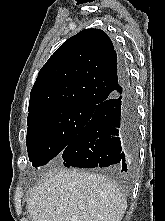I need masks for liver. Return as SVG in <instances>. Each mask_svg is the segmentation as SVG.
I'll return each instance as SVG.
<instances>
[{
  "label": "liver",
  "mask_w": 165,
  "mask_h": 221,
  "mask_svg": "<svg viewBox=\"0 0 165 221\" xmlns=\"http://www.w3.org/2000/svg\"><path fill=\"white\" fill-rule=\"evenodd\" d=\"M127 201L106 177L53 167L27 200L33 221H121Z\"/></svg>",
  "instance_id": "1"
}]
</instances>
